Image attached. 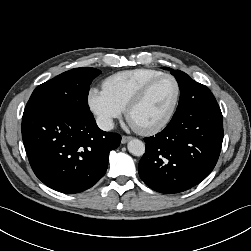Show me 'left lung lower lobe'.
I'll return each mask as SVG.
<instances>
[{
  "label": "left lung lower lobe",
  "mask_w": 251,
  "mask_h": 251,
  "mask_svg": "<svg viewBox=\"0 0 251 251\" xmlns=\"http://www.w3.org/2000/svg\"><path fill=\"white\" fill-rule=\"evenodd\" d=\"M140 178L155 191L173 194L200 183L215 167L223 141V118L210 90L199 84L180 93L163 131L145 138Z\"/></svg>",
  "instance_id": "left-lung-lower-lobe-1"
}]
</instances>
